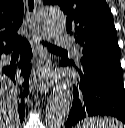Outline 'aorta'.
Returning a JSON list of instances; mask_svg holds the SVG:
<instances>
[{
  "label": "aorta",
  "mask_w": 125,
  "mask_h": 128,
  "mask_svg": "<svg viewBox=\"0 0 125 128\" xmlns=\"http://www.w3.org/2000/svg\"><path fill=\"white\" fill-rule=\"evenodd\" d=\"M38 22L49 38L62 34L66 28L63 12L55 6H45L38 12ZM72 105V95L65 83H58L50 95L46 107L47 128H62Z\"/></svg>",
  "instance_id": "aorta-1"
}]
</instances>
